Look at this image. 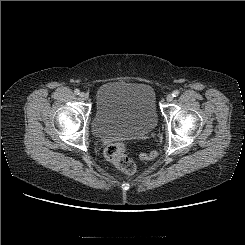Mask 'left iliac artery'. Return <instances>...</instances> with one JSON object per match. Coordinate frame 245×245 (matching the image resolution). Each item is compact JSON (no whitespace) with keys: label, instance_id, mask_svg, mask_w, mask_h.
Instances as JSON below:
<instances>
[{"label":"left iliac artery","instance_id":"44dca946","mask_svg":"<svg viewBox=\"0 0 245 245\" xmlns=\"http://www.w3.org/2000/svg\"><path fill=\"white\" fill-rule=\"evenodd\" d=\"M179 95V91L178 90H174L173 92H172V96L173 97H177Z\"/></svg>","mask_w":245,"mask_h":245}]
</instances>
